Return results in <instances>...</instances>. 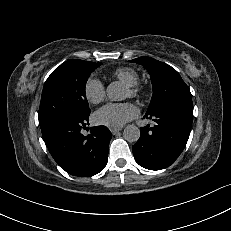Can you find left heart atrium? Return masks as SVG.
<instances>
[{"label": "left heart atrium", "instance_id": "1", "mask_svg": "<svg viewBox=\"0 0 231 231\" xmlns=\"http://www.w3.org/2000/svg\"><path fill=\"white\" fill-rule=\"evenodd\" d=\"M137 115V109L131 103H108L94 114L98 125L109 128H121Z\"/></svg>", "mask_w": 231, "mask_h": 231}]
</instances>
